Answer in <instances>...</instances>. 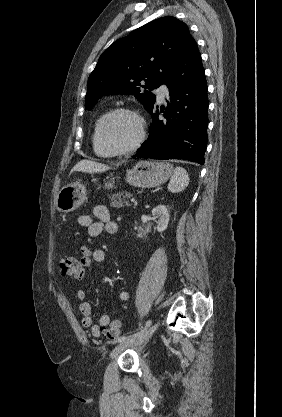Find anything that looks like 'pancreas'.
<instances>
[{
    "mask_svg": "<svg viewBox=\"0 0 282 417\" xmlns=\"http://www.w3.org/2000/svg\"><path fill=\"white\" fill-rule=\"evenodd\" d=\"M130 196H133L131 192H116V194H112V196H109L111 202V206H117V209H120V206H131L129 200L127 198H130Z\"/></svg>",
    "mask_w": 282,
    "mask_h": 417,
    "instance_id": "cf45deb5",
    "label": "pancreas"
}]
</instances>
